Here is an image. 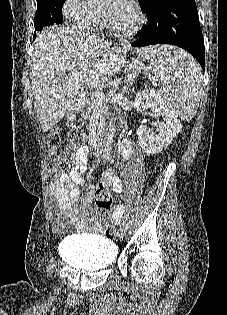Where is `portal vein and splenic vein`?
<instances>
[{
	"instance_id": "portal-vein-and-splenic-vein-1",
	"label": "portal vein and splenic vein",
	"mask_w": 227,
	"mask_h": 315,
	"mask_svg": "<svg viewBox=\"0 0 227 315\" xmlns=\"http://www.w3.org/2000/svg\"><path fill=\"white\" fill-rule=\"evenodd\" d=\"M137 68V66H136ZM149 78H151V74H148ZM88 80V84L90 85H96V82L98 81V77L95 76H91L90 78L87 79ZM95 97L98 99L99 103L102 102L103 98H104V94L102 91H97L95 93Z\"/></svg>"
}]
</instances>
